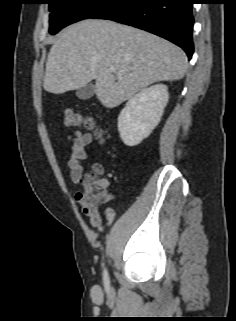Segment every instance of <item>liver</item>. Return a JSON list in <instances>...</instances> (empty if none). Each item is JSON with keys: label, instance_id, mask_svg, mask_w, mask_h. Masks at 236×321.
Listing matches in <instances>:
<instances>
[{"label": "liver", "instance_id": "liver-1", "mask_svg": "<svg viewBox=\"0 0 236 321\" xmlns=\"http://www.w3.org/2000/svg\"><path fill=\"white\" fill-rule=\"evenodd\" d=\"M187 65L182 49L166 39L110 20L86 19L65 28L52 45L43 87L62 94L95 80L98 100L113 108L152 83L182 79Z\"/></svg>", "mask_w": 236, "mask_h": 321}]
</instances>
